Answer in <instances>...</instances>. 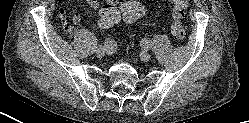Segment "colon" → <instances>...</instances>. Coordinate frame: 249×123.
I'll return each mask as SVG.
<instances>
[{"instance_id":"colon-1","label":"colon","mask_w":249,"mask_h":123,"mask_svg":"<svg viewBox=\"0 0 249 123\" xmlns=\"http://www.w3.org/2000/svg\"><path fill=\"white\" fill-rule=\"evenodd\" d=\"M173 5L171 33L175 39L182 43L186 37V31L182 25L188 0H171ZM145 13V7L136 1L125 3L105 4L99 12V23L103 27L116 24L121 18L127 22H134Z\"/></svg>"}]
</instances>
